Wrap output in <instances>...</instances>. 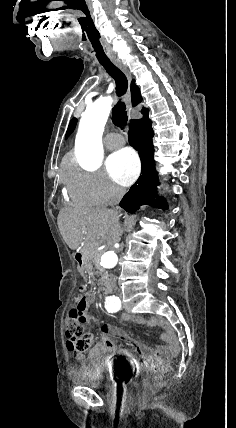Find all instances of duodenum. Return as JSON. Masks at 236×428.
I'll use <instances>...</instances> for the list:
<instances>
[{"instance_id": "obj_1", "label": "duodenum", "mask_w": 236, "mask_h": 428, "mask_svg": "<svg viewBox=\"0 0 236 428\" xmlns=\"http://www.w3.org/2000/svg\"><path fill=\"white\" fill-rule=\"evenodd\" d=\"M74 260L77 265V269L82 272L84 270V258L81 251H76L74 254ZM115 288V277L113 275H107L105 277L101 294L102 296L107 299L108 297L113 295V291Z\"/></svg>"}]
</instances>
